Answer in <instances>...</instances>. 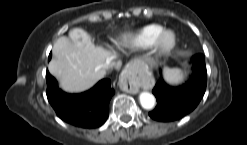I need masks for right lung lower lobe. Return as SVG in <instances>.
I'll use <instances>...</instances> for the list:
<instances>
[{
    "label": "right lung lower lobe",
    "mask_w": 247,
    "mask_h": 145,
    "mask_svg": "<svg viewBox=\"0 0 247 145\" xmlns=\"http://www.w3.org/2000/svg\"><path fill=\"white\" fill-rule=\"evenodd\" d=\"M46 81L48 101L63 121L82 128H96L106 121L109 101L114 94L109 79L101 80L92 89L81 94L64 93L48 71Z\"/></svg>",
    "instance_id": "right-lung-lower-lobe-1"
}]
</instances>
